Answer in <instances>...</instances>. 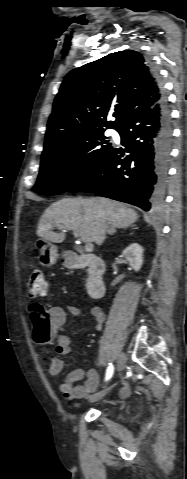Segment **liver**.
Wrapping results in <instances>:
<instances>
[{"instance_id":"obj_1","label":"liver","mask_w":187,"mask_h":479,"mask_svg":"<svg viewBox=\"0 0 187 479\" xmlns=\"http://www.w3.org/2000/svg\"><path fill=\"white\" fill-rule=\"evenodd\" d=\"M137 220L135 210L117 201L102 197L64 198L45 210L36 233L46 241L62 243L65 234L52 228L72 230L83 242L100 246L106 233L112 234L116 228H126Z\"/></svg>"}]
</instances>
